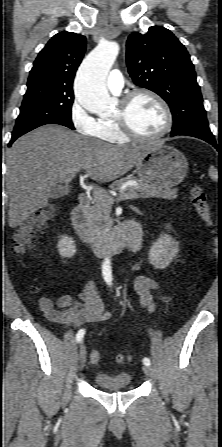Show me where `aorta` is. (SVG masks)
Listing matches in <instances>:
<instances>
[{
  "label": "aorta",
  "mask_w": 222,
  "mask_h": 447,
  "mask_svg": "<svg viewBox=\"0 0 222 447\" xmlns=\"http://www.w3.org/2000/svg\"><path fill=\"white\" fill-rule=\"evenodd\" d=\"M119 53L114 41H101L80 65L75 82V97L86 110L103 114L109 112L112 99L108 94L105 79ZM110 273L106 279H110Z\"/></svg>",
  "instance_id": "aorta-1"
}]
</instances>
